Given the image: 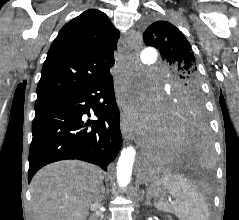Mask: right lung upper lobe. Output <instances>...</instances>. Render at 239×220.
Returning a JSON list of instances; mask_svg holds the SVG:
<instances>
[{"mask_svg": "<svg viewBox=\"0 0 239 220\" xmlns=\"http://www.w3.org/2000/svg\"><path fill=\"white\" fill-rule=\"evenodd\" d=\"M118 38L107 15L96 9L65 24L43 64L36 102L81 91L108 74Z\"/></svg>", "mask_w": 239, "mask_h": 220, "instance_id": "right-lung-upper-lobe-1", "label": "right lung upper lobe"}]
</instances>
